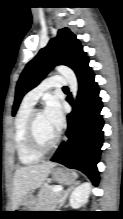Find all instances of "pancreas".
Segmentation results:
<instances>
[{"label":"pancreas","mask_w":123,"mask_h":219,"mask_svg":"<svg viewBox=\"0 0 123 219\" xmlns=\"http://www.w3.org/2000/svg\"><path fill=\"white\" fill-rule=\"evenodd\" d=\"M54 186H44L39 194L36 204V210L49 211L54 208L55 204L59 202L61 192L53 193Z\"/></svg>","instance_id":"obj_1"}]
</instances>
